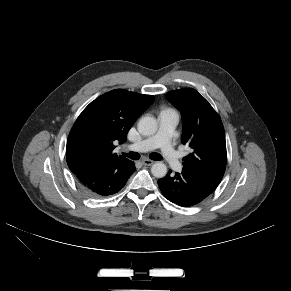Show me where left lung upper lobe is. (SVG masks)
<instances>
[{"instance_id":"5c2ea615","label":"left lung upper lobe","mask_w":291,"mask_h":291,"mask_svg":"<svg viewBox=\"0 0 291 291\" xmlns=\"http://www.w3.org/2000/svg\"><path fill=\"white\" fill-rule=\"evenodd\" d=\"M166 96L181 111L182 143L192 148V153L183 159L184 168L221 182L227 153L219 115L195 89L170 91Z\"/></svg>"}]
</instances>
